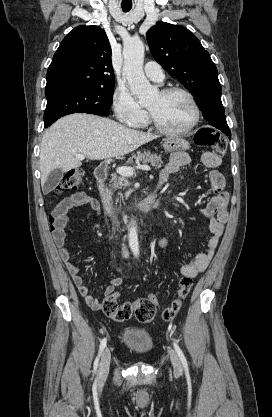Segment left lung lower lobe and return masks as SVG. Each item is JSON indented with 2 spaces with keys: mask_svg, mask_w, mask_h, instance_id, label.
I'll return each instance as SVG.
<instances>
[{
  "mask_svg": "<svg viewBox=\"0 0 272 417\" xmlns=\"http://www.w3.org/2000/svg\"><path fill=\"white\" fill-rule=\"evenodd\" d=\"M226 135L231 136V132L227 133Z\"/></svg>",
  "mask_w": 272,
  "mask_h": 417,
  "instance_id": "0a47b994",
  "label": "left lung lower lobe"
}]
</instances>
